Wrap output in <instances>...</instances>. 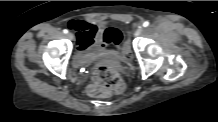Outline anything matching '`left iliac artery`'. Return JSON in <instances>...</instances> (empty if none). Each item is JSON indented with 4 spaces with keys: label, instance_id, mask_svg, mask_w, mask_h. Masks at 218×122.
<instances>
[{
    "label": "left iliac artery",
    "instance_id": "left-iliac-artery-1",
    "mask_svg": "<svg viewBox=\"0 0 218 122\" xmlns=\"http://www.w3.org/2000/svg\"><path fill=\"white\" fill-rule=\"evenodd\" d=\"M143 26H144V27L149 26V22H148V21H145V22L143 23Z\"/></svg>",
    "mask_w": 218,
    "mask_h": 122
}]
</instances>
